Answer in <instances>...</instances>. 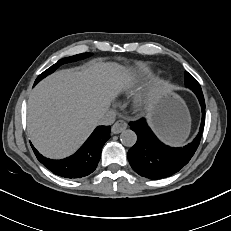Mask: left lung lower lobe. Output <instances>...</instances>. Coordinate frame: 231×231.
<instances>
[{
    "label": "left lung lower lobe",
    "instance_id": "0a47b994",
    "mask_svg": "<svg viewBox=\"0 0 231 231\" xmlns=\"http://www.w3.org/2000/svg\"><path fill=\"white\" fill-rule=\"evenodd\" d=\"M195 94L202 108L201 126L194 141L184 147L164 145L151 131L145 119L129 123L137 134V142L128 151V160L140 176L154 180L165 178L178 172L190 161L199 146L205 120L203 93Z\"/></svg>",
    "mask_w": 231,
    "mask_h": 231
}]
</instances>
